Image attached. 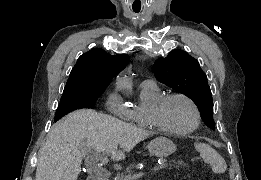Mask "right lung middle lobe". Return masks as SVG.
<instances>
[{
	"label": "right lung middle lobe",
	"instance_id": "obj_1",
	"mask_svg": "<svg viewBox=\"0 0 261 180\" xmlns=\"http://www.w3.org/2000/svg\"><path fill=\"white\" fill-rule=\"evenodd\" d=\"M104 91L64 89L55 115V122L76 109L90 108Z\"/></svg>",
	"mask_w": 261,
	"mask_h": 180
}]
</instances>
